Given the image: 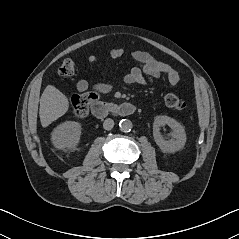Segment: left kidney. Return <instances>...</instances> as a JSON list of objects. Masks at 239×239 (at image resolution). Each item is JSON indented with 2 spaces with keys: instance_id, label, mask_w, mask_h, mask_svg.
Masks as SVG:
<instances>
[{
  "instance_id": "5707ae66",
  "label": "left kidney",
  "mask_w": 239,
  "mask_h": 239,
  "mask_svg": "<svg viewBox=\"0 0 239 239\" xmlns=\"http://www.w3.org/2000/svg\"><path fill=\"white\" fill-rule=\"evenodd\" d=\"M168 125L172 129L171 139L165 140L160 127ZM153 137L159 148L166 153H174L184 148L186 133L184 127L168 116H156L153 123Z\"/></svg>"
}]
</instances>
